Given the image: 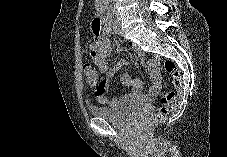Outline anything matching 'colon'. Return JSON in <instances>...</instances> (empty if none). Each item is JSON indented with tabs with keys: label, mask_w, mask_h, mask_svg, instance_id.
Here are the masks:
<instances>
[{
	"label": "colon",
	"mask_w": 227,
	"mask_h": 157,
	"mask_svg": "<svg viewBox=\"0 0 227 157\" xmlns=\"http://www.w3.org/2000/svg\"><path fill=\"white\" fill-rule=\"evenodd\" d=\"M94 32L98 34L99 30H94ZM163 67L166 73L172 78L176 91L168 92L161 98V106L150 120L152 124L161 123L170 112H173L178 107L179 94L183 87L182 78L177 65L171 60H166ZM85 79L90 86H95L99 81V74L90 66H86Z\"/></svg>",
	"instance_id": "5ec220e1"
}]
</instances>
